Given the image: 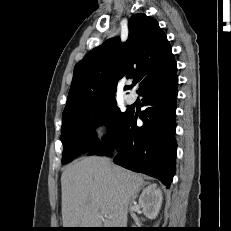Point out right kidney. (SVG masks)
<instances>
[{
  "label": "right kidney",
  "mask_w": 231,
  "mask_h": 231,
  "mask_svg": "<svg viewBox=\"0 0 231 231\" xmlns=\"http://www.w3.org/2000/svg\"><path fill=\"white\" fill-rule=\"evenodd\" d=\"M162 191L157 184H150L143 190L139 197V205L143 209L144 214L149 219H155L158 216L162 205Z\"/></svg>",
  "instance_id": "ca27d5eb"
}]
</instances>
